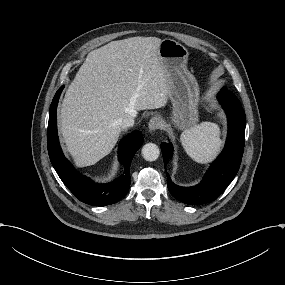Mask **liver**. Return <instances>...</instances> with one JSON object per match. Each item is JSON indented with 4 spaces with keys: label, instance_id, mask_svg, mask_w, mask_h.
Wrapping results in <instances>:
<instances>
[{
    "label": "liver",
    "instance_id": "6515ba94",
    "mask_svg": "<svg viewBox=\"0 0 285 285\" xmlns=\"http://www.w3.org/2000/svg\"><path fill=\"white\" fill-rule=\"evenodd\" d=\"M161 42L157 37H131L87 55L60 114V132L76 166L93 165L112 151L124 115L166 105L169 86L158 59Z\"/></svg>",
    "mask_w": 285,
    "mask_h": 285
}]
</instances>
